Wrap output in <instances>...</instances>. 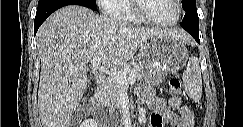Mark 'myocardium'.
Listing matches in <instances>:
<instances>
[{"label": "myocardium", "instance_id": "f54148a6", "mask_svg": "<svg viewBox=\"0 0 243 127\" xmlns=\"http://www.w3.org/2000/svg\"><path fill=\"white\" fill-rule=\"evenodd\" d=\"M142 1L143 0H133L132 1L133 12L140 19L141 22H144L146 24H150L153 26H158V27H171V26L176 25L181 20V17L183 15V6H182L181 0H174L178 13H177V16L172 21H168V22L157 21V20L149 17L143 10Z\"/></svg>", "mask_w": 243, "mask_h": 127}]
</instances>
